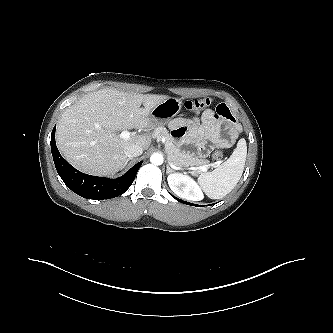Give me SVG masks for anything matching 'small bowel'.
<instances>
[{
  "mask_svg": "<svg viewBox=\"0 0 333 333\" xmlns=\"http://www.w3.org/2000/svg\"><path fill=\"white\" fill-rule=\"evenodd\" d=\"M175 137L194 147L198 156H207L213 149L230 147L240 130L228 106L220 103L214 110H205L201 118H177L170 123Z\"/></svg>",
  "mask_w": 333,
  "mask_h": 333,
  "instance_id": "small-bowel-1",
  "label": "small bowel"
}]
</instances>
